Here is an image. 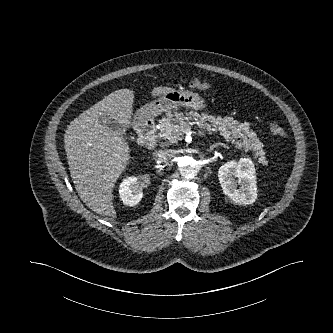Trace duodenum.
I'll use <instances>...</instances> for the list:
<instances>
[{"mask_svg": "<svg viewBox=\"0 0 333 333\" xmlns=\"http://www.w3.org/2000/svg\"><path fill=\"white\" fill-rule=\"evenodd\" d=\"M136 127L141 145L154 148L157 144V136L153 120L145 115L138 121Z\"/></svg>", "mask_w": 333, "mask_h": 333, "instance_id": "1", "label": "duodenum"}]
</instances>
